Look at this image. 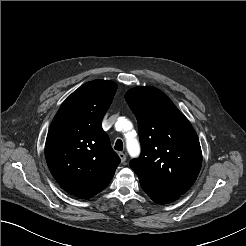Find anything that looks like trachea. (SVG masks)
I'll use <instances>...</instances> for the list:
<instances>
[{
	"instance_id": "obj_1",
	"label": "trachea",
	"mask_w": 246,
	"mask_h": 246,
	"mask_svg": "<svg viewBox=\"0 0 246 246\" xmlns=\"http://www.w3.org/2000/svg\"><path fill=\"white\" fill-rule=\"evenodd\" d=\"M114 149L117 151H121L123 149V142L120 139L116 141Z\"/></svg>"
}]
</instances>
